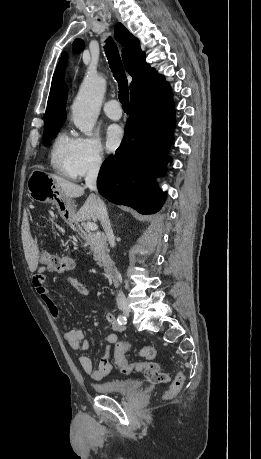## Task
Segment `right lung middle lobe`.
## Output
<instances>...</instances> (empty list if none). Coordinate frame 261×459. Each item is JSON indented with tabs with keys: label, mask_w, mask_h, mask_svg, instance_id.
Segmentation results:
<instances>
[{
	"label": "right lung middle lobe",
	"mask_w": 261,
	"mask_h": 459,
	"mask_svg": "<svg viewBox=\"0 0 261 459\" xmlns=\"http://www.w3.org/2000/svg\"><path fill=\"white\" fill-rule=\"evenodd\" d=\"M63 123L54 125H45L43 133V144L47 145L61 129Z\"/></svg>",
	"instance_id": "obj_1"
}]
</instances>
